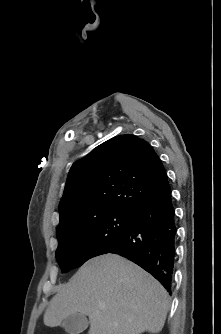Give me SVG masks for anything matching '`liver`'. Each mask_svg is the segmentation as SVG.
<instances>
[{
  "label": "liver",
  "mask_w": 221,
  "mask_h": 334,
  "mask_svg": "<svg viewBox=\"0 0 221 334\" xmlns=\"http://www.w3.org/2000/svg\"><path fill=\"white\" fill-rule=\"evenodd\" d=\"M169 308L164 287L116 254L88 260L50 300L43 321L57 327L76 313L89 317L88 334L159 333Z\"/></svg>",
  "instance_id": "liver-1"
}]
</instances>
